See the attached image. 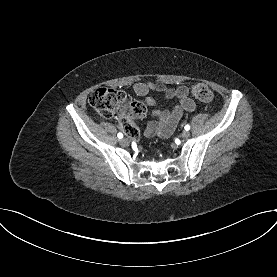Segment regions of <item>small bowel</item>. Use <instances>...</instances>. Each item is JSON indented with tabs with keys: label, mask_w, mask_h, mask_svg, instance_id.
<instances>
[{
	"label": "small bowel",
	"mask_w": 277,
	"mask_h": 277,
	"mask_svg": "<svg viewBox=\"0 0 277 277\" xmlns=\"http://www.w3.org/2000/svg\"><path fill=\"white\" fill-rule=\"evenodd\" d=\"M132 89L138 96L144 97L146 104L149 106H155L157 103L153 97L149 96L150 92H160L167 99L178 100L177 105L171 110H154L152 112V120L144 129L146 137H169L183 114L185 112H193L196 109V103L189 97V89L186 86L166 87L159 83L137 82L132 86ZM138 136L139 130L137 128V134L131 137L137 138Z\"/></svg>",
	"instance_id": "obj_1"
}]
</instances>
